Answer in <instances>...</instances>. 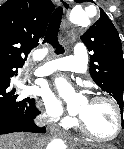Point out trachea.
<instances>
[{
  "mask_svg": "<svg viewBox=\"0 0 124 149\" xmlns=\"http://www.w3.org/2000/svg\"><path fill=\"white\" fill-rule=\"evenodd\" d=\"M62 15H63V8L57 7L50 19L47 32L45 35V40L47 42L52 43L57 39V35L59 32V28L62 20Z\"/></svg>",
  "mask_w": 124,
  "mask_h": 149,
  "instance_id": "3493384b",
  "label": "trachea"
}]
</instances>
